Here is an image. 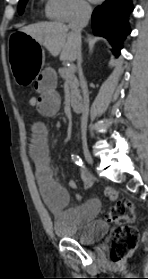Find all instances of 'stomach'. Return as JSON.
Masks as SVG:
<instances>
[{"mask_svg": "<svg viewBox=\"0 0 148 279\" xmlns=\"http://www.w3.org/2000/svg\"><path fill=\"white\" fill-rule=\"evenodd\" d=\"M15 34H10L7 44L11 50H8L11 62V70L15 77L17 87H30L40 69H44V50L38 43L24 30H15Z\"/></svg>", "mask_w": 148, "mask_h": 279, "instance_id": "1", "label": "stomach"}]
</instances>
